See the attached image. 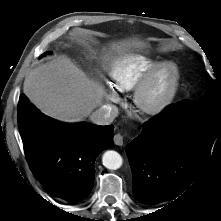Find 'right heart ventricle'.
Listing matches in <instances>:
<instances>
[{
    "label": "right heart ventricle",
    "instance_id": "right-heart-ventricle-1",
    "mask_svg": "<svg viewBox=\"0 0 221 221\" xmlns=\"http://www.w3.org/2000/svg\"><path fill=\"white\" fill-rule=\"evenodd\" d=\"M156 61L142 55H133L116 62L110 76L118 91H130L137 87Z\"/></svg>",
    "mask_w": 221,
    "mask_h": 221
}]
</instances>
